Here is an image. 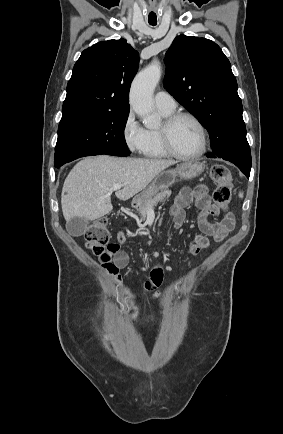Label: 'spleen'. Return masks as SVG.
<instances>
[{"label":"spleen","instance_id":"1","mask_svg":"<svg viewBox=\"0 0 283 434\" xmlns=\"http://www.w3.org/2000/svg\"><path fill=\"white\" fill-rule=\"evenodd\" d=\"M239 197H240V198H243V192H240V193H239Z\"/></svg>","mask_w":283,"mask_h":434}]
</instances>
